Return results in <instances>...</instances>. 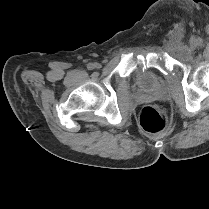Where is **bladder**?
I'll list each match as a JSON object with an SVG mask.
<instances>
[{"instance_id":"obj_1","label":"bladder","mask_w":209,"mask_h":209,"mask_svg":"<svg viewBox=\"0 0 209 209\" xmlns=\"http://www.w3.org/2000/svg\"><path fill=\"white\" fill-rule=\"evenodd\" d=\"M138 86L147 96H153L159 87L158 78L151 71H144L138 77Z\"/></svg>"}]
</instances>
